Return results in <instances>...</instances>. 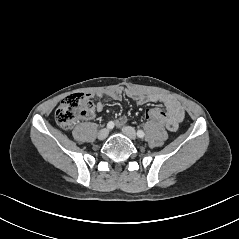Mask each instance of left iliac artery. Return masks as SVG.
<instances>
[{
    "label": "left iliac artery",
    "mask_w": 239,
    "mask_h": 239,
    "mask_svg": "<svg viewBox=\"0 0 239 239\" xmlns=\"http://www.w3.org/2000/svg\"><path fill=\"white\" fill-rule=\"evenodd\" d=\"M137 136H138L139 138H143V137L145 136V133H144L142 130H138V131H137Z\"/></svg>",
    "instance_id": "left-iliac-artery-1"
}]
</instances>
